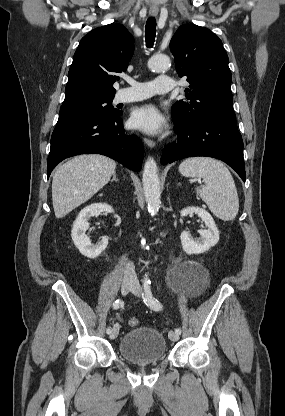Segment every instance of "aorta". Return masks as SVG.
I'll return each instance as SVG.
<instances>
[{
    "instance_id": "762f6f07",
    "label": "aorta",
    "mask_w": 285,
    "mask_h": 416,
    "mask_svg": "<svg viewBox=\"0 0 285 416\" xmlns=\"http://www.w3.org/2000/svg\"><path fill=\"white\" fill-rule=\"evenodd\" d=\"M170 66V58L162 54L154 55L148 61V68L153 72H165ZM142 182L148 211L155 215L161 205V190L158 167L152 157L145 162Z\"/></svg>"
}]
</instances>
